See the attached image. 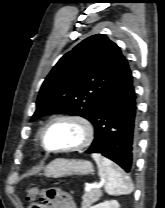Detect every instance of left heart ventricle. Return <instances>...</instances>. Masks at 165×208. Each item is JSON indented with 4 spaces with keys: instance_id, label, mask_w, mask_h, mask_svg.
Masks as SVG:
<instances>
[{
    "instance_id": "1",
    "label": "left heart ventricle",
    "mask_w": 165,
    "mask_h": 208,
    "mask_svg": "<svg viewBox=\"0 0 165 208\" xmlns=\"http://www.w3.org/2000/svg\"><path fill=\"white\" fill-rule=\"evenodd\" d=\"M83 139L81 127L70 121H58L46 131L44 141L49 149L65 148Z\"/></svg>"
}]
</instances>
